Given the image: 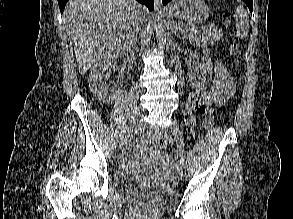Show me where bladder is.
Returning <instances> with one entry per match:
<instances>
[{
  "instance_id": "31cf9c89",
  "label": "bladder",
  "mask_w": 293,
  "mask_h": 219,
  "mask_svg": "<svg viewBox=\"0 0 293 219\" xmlns=\"http://www.w3.org/2000/svg\"><path fill=\"white\" fill-rule=\"evenodd\" d=\"M113 185L120 192L146 200L161 209L174 207L179 200V192L173 184L147 181L124 170L113 175Z\"/></svg>"
}]
</instances>
